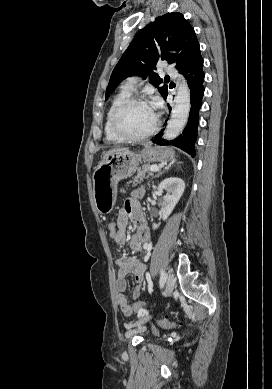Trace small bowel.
Instances as JSON below:
<instances>
[{"mask_svg":"<svg viewBox=\"0 0 272 389\" xmlns=\"http://www.w3.org/2000/svg\"><path fill=\"white\" fill-rule=\"evenodd\" d=\"M141 193L142 191L140 189L136 190L127 198L123 207L119 210L117 216L119 231L113 237L117 244H124L127 241L126 228L129 222L132 221L137 230L130 238V247L135 252H141L149 241V232L145 225L138 201ZM116 264L119 268L118 278L115 283L117 303L123 314L130 316L134 310L132 305L128 303L124 294L127 288L126 276L129 274L133 275L136 283L133 299L137 300L145 281L146 266L140 259L132 256L120 257L117 259Z\"/></svg>","mask_w":272,"mask_h":389,"instance_id":"1","label":"small bowel"}]
</instances>
